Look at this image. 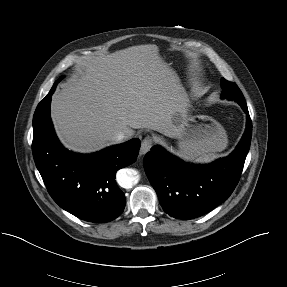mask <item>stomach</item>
I'll return each instance as SVG.
<instances>
[{
	"mask_svg": "<svg viewBox=\"0 0 287 287\" xmlns=\"http://www.w3.org/2000/svg\"><path fill=\"white\" fill-rule=\"evenodd\" d=\"M178 153L185 159H199L226 148L228 139L222 125L207 115H198L188 110L179 124L176 136Z\"/></svg>",
	"mask_w": 287,
	"mask_h": 287,
	"instance_id": "stomach-1",
	"label": "stomach"
}]
</instances>
